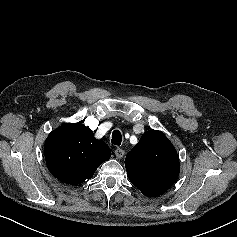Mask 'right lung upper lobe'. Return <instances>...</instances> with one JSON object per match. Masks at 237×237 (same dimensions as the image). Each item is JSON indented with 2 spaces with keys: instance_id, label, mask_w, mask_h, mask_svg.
<instances>
[{
  "instance_id": "cb5924a9",
  "label": "right lung upper lobe",
  "mask_w": 237,
  "mask_h": 237,
  "mask_svg": "<svg viewBox=\"0 0 237 237\" xmlns=\"http://www.w3.org/2000/svg\"><path fill=\"white\" fill-rule=\"evenodd\" d=\"M49 171L58 180L72 185L90 179L111 150L82 123H66L49 134L45 141Z\"/></svg>"
}]
</instances>
